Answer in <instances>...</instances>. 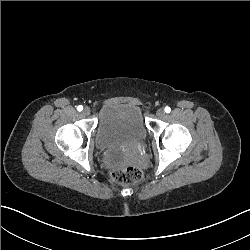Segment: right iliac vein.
<instances>
[{
  "label": "right iliac vein",
  "instance_id": "obj_1",
  "mask_svg": "<svg viewBox=\"0 0 250 250\" xmlns=\"http://www.w3.org/2000/svg\"><path fill=\"white\" fill-rule=\"evenodd\" d=\"M90 113H91L90 108L85 107V108L83 109V114H84L85 116H89V115H90Z\"/></svg>",
  "mask_w": 250,
  "mask_h": 250
}]
</instances>
